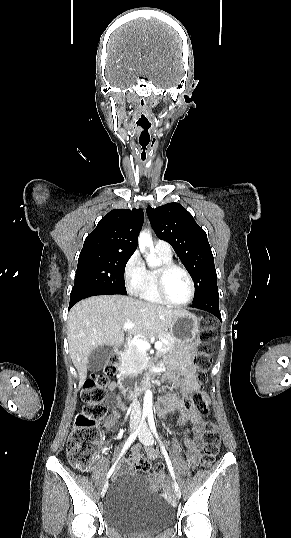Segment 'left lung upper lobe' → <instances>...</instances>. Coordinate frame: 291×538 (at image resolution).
I'll return each instance as SVG.
<instances>
[{"label":"left lung upper lobe","mask_w":291,"mask_h":538,"mask_svg":"<svg viewBox=\"0 0 291 538\" xmlns=\"http://www.w3.org/2000/svg\"><path fill=\"white\" fill-rule=\"evenodd\" d=\"M147 215L159 239L172 245L192 275L195 286L193 303L217 294L214 258L205 231L192 215L178 203L157 208L147 207Z\"/></svg>","instance_id":"left-lung-upper-lobe-1"}]
</instances>
